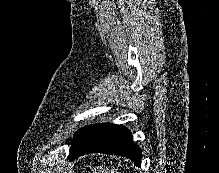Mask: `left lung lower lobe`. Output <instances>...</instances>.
I'll return each instance as SVG.
<instances>
[{
	"label": "left lung lower lobe",
	"mask_w": 219,
	"mask_h": 173,
	"mask_svg": "<svg viewBox=\"0 0 219 173\" xmlns=\"http://www.w3.org/2000/svg\"><path fill=\"white\" fill-rule=\"evenodd\" d=\"M88 153H104L124 156L135 165H141L142 153L132 141L131 132L124 126L110 123L85 127L81 136L70 149V161Z\"/></svg>",
	"instance_id": "1"
}]
</instances>
